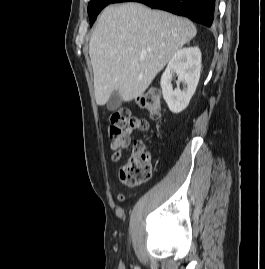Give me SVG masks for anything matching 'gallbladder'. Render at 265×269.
<instances>
[{"instance_id":"obj_1","label":"gallbladder","mask_w":265,"mask_h":269,"mask_svg":"<svg viewBox=\"0 0 265 269\" xmlns=\"http://www.w3.org/2000/svg\"><path fill=\"white\" fill-rule=\"evenodd\" d=\"M122 104V99L117 91L112 92L108 102L107 109L110 111L118 109Z\"/></svg>"}]
</instances>
